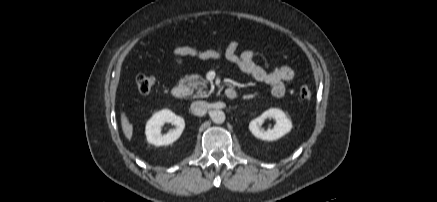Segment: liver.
Segmentation results:
<instances>
[{"label": "liver", "mask_w": 437, "mask_h": 202, "mask_svg": "<svg viewBox=\"0 0 437 202\" xmlns=\"http://www.w3.org/2000/svg\"><path fill=\"white\" fill-rule=\"evenodd\" d=\"M121 126L125 137L131 140L133 135V125L129 122L125 112H121Z\"/></svg>", "instance_id": "obj_1"}]
</instances>
